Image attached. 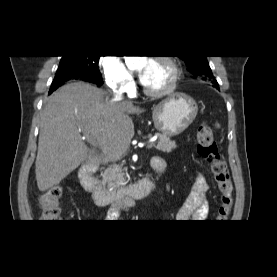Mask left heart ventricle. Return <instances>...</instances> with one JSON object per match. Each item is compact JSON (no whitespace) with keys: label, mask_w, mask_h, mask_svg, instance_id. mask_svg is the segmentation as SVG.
Masks as SVG:
<instances>
[{"label":"left heart ventricle","mask_w":277,"mask_h":277,"mask_svg":"<svg viewBox=\"0 0 277 277\" xmlns=\"http://www.w3.org/2000/svg\"><path fill=\"white\" fill-rule=\"evenodd\" d=\"M146 63H143L140 67L143 68ZM170 80V71L168 67L158 61H154L150 67L148 82L146 87L150 89H160L167 85Z\"/></svg>","instance_id":"left-heart-ventricle-1"}]
</instances>
